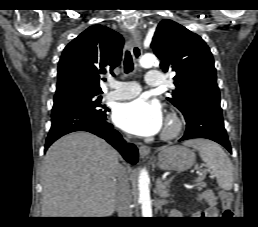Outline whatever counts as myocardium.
<instances>
[{"mask_svg":"<svg viewBox=\"0 0 258 227\" xmlns=\"http://www.w3.org/2000/svg\"><path fill=\"white\" fill-rule=\"evenodd\" d=\"M183 121L176 114H169L165 120V125L161 133L163 140H171L176 138L182 131Z\"/></svg>","mask_w":258,"mask_h":227,"instance_id":"f54148a6","label":"myocardium"}]
</instances>
